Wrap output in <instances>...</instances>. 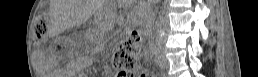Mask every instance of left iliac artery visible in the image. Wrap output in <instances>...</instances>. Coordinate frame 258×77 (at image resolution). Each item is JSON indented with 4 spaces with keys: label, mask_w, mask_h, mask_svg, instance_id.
I'll return each instance as SVG.
<instances>
[{
    "label": "left iliac artery",
    "mask_w": 258,
    "mask_h": 77,
    "mask_svg": "<svg viewBox=\"0 0 258 77\" xmlns=\"http://www.w3.org/2000/svg\"><path fill=\"white\" fill-rule=\"evenodd\" d=\"M155 48H156V46H154ZM153 52L156 54L157 53V50L155 49V50H153Z\"/></svg>",
    "instance_id": "obj_1"
}]
</instances>
